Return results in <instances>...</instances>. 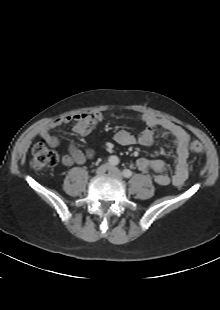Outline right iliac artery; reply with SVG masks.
I'll return each instance as SVG.
<instances>
[{"label":"right iliac artery","instance_id":"obj_1","mask_svg":"<svg viewBox=\"0 0 220 310\" xmlns=\"http://www.w3.org/2000/svg\"><path fill=\"white\" fill-rule=\"evenodd\" d=\"M108 161H109V164L112 166H115L119 163V159L116 156H110Z\"/></svg>","mask_w":220,"mask_h":310}]
</instances>
